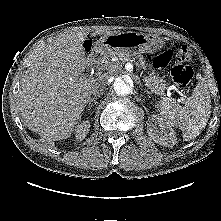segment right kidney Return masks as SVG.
<instances>
[{
	"label": "right kidney",
	"mask_w": 221,
	"mask_h": 221,
	"mask_svg": "<svg viewBox=\"0 0 221 221\" xmlns=\"http://www.w3.org/2000/svg\"><path fill=\"white\" fill-rule=\"evenodd\" d=\"M90 122L88 120L81 122L75 128V137L82 141L89 132Z\"/></svg>",
	"instance_id": "1"
}]
</instances>
